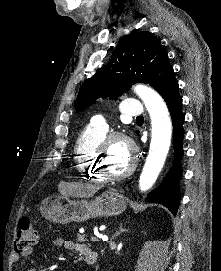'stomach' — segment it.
<instances>
[{"label": "stomach", "mask_w": 221, "mask_h": 271, "mask_svg": "<svg viewBox=\"0 0 221 271\" xmlns=\"http://www.w3.org/2000/svg\"><path fill=\"white\" fill-rule=\"evenodd\" d=\"M126 209V201L117 193V189L109 187L102 191L96 199H69V197H46L41 207L46 219L56 223H69V221H86L90 217H107L119 215Z\"/></svg>", "instance_id": "obj_1"}]
</instances>
